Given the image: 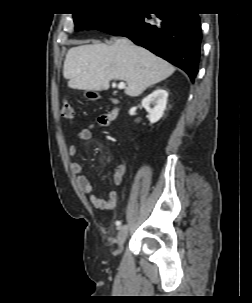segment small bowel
Returning a JSON list of instances; mask_svg holds the SVG:
<instances>
[{
    "label": "small bowel",
    "instance_id": "obj_1",
    "mask_svg": "<svg viewBox=\"0 0 252 303\" xmlns=\"http://www.w3.org/2000/svg\"><path fill=\"white\" fill-rule=\"evenodd\" d=\"M101 125H103V123H101ZM96 129L97 125L92 124L88 128L77 131L74 138L76 141H88L92 137V132ZM77 153L78 147L75 144L70 145L68 148L69 157L73 159ZM70 170L75 176L80 190L89 194V200L95 208L108 212L113 211L116 208L119 200V194L116 190H111L108 194V199H103L93 192V186L90 180L83 174V169L79 162L71 160ZM125 171L126 167L123 164L116 167L113 174L115 185H120L122 183Z\"/></svg>",
    "mask_w": 252,
    "mask_h": 303
}]
</instances>
